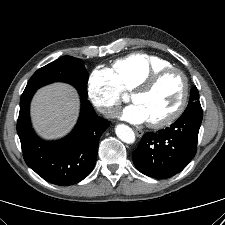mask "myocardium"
I'll list each match as a JSON object with an SVG mask.
<instances>
[{"label": "myocardium", "instance_id": "f54148a6", "mask_svg": "<svg viewBox=\"0 0 225 225\" xmlns=\"http://www.w3.org/2000/svg\"><path fill=\"white\" fill-rule=\"evenodd\" d=\"M169 73H177L181 78L182 81L181 98L177 106L174 108V110L171 111L168 115L156 121H148V125L151 128L155 129L163 128L173 123L181 116L188 101L189 95L188 78L181 69L170 66L152 73L133 89L132 95L135 93H146L150 91L164 76L168 75Z\"/></svg>", "mask_w": 225, "mask_h": 225}]
</instances>
